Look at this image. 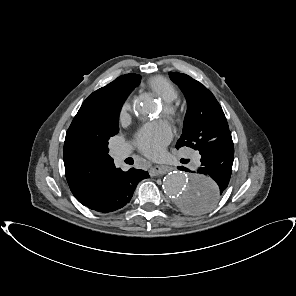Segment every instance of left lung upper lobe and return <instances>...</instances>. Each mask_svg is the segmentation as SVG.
<instances>
[{
	"mask_svg": "<svg viewBox=\"0 0 296 296\" xmlns=\"http://www.w3.org/2000/svg\"><path fill=\"white\" fill-rule=\"evenodd\" d=\"M169 75L187 97L183 133L176 148L187 146L202 154L208 151L211 142L230 133L224 112L214 95L200 82L183 73L169 72ZM193 200L188 199L185 206Z\"/></svg>",
	"mask_w": 296,
	"mask_h": 296,
	"instance_id": "obj_1",
	"label": "left lung upper lobe"
}]
</instances>
